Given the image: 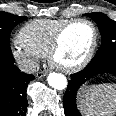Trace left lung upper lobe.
<instances>
[{"mask_svg":"<svg viewBox=\"0 0 116 116\" xmlns=\"http://www.w3.org/2000/svg\"><path fill=\"white\" fill-rule=\"evenodd\" d=\"M98 25L102 37V44L94 57L116 55V22L100 12L87 13Z\"/></svg>","mask_w":116,"mask_h":116,"instance_id":"5c2ea615","label":"left lung upper lobe"}]
</instances>
